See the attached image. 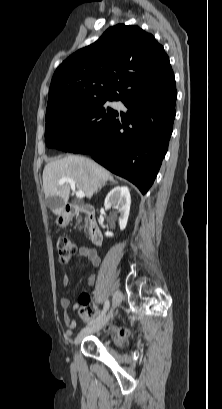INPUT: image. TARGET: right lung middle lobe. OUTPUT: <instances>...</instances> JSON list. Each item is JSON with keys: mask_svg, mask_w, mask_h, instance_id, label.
Returning a JSON list of instances; mask_svg holds the SVG:
<instances>
[{"mask_svg": "<svg viewBox=\"0 0 222 409\" xmlns=\"http://www.w3.org/2000/svg\"><path fill=\"white\" fill-rule=\"evenodd\" d=\"M105 101L71 104L46 113L45 140L50 148L83 153L105 139L116 111Z\"/></svg>", "mask_w": 222, "mask_h": 409, "instance_id": "obj_1", "label": "right lung middle lobe"}]
</instances>
